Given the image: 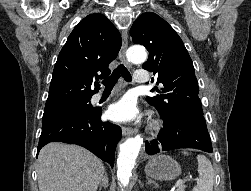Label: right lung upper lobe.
Segmentation results:
<instances>
[{
    "label": "right lung upper lobe",
    "mask_w": 251,
    "mask_h": 191,
    "mask_svg": "<svg viewBox=\"0 0 251 191\" xmlns=\"http://www.w3.org/2000/svg\"><path fill=\"white\" fill-rule=\"evenodd\" d=\"M121 36L102 14L85 17L71 32L55 64L45 109L91 99L93 80L110 74L108 65L121 47Z\"/></svg>",
    "instance_id": "obj_1"
}]
</instances>
